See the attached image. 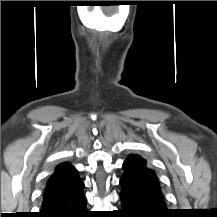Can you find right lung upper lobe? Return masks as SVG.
<instances>
[{"label": "right lung upper lobe", "instance_id": "cb5924a9", "mask_svg": "<svg viewBox=\"0 0 217 217\" xmlns=\"http://www.w3.org/2000/svg\"><path fill=\"white\" fill-rule=\"evenodd\" d=\"M83 186L84 184L79 178L77 170L73 169L69 163L59 164L48 180L43 202L72 194Z\"/></svg>", "mask_w": 217, "mask_h": 217}]
</instances>
